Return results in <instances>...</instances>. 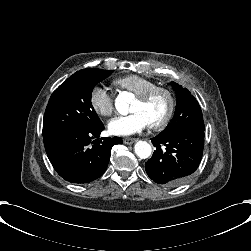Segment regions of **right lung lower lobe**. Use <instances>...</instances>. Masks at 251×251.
Here are the masks:
<instances>
[{"label": "right lung lower lobe", "instance_id": "obj_1", "mask_svg": "<svg viewBox=\"0 0 251 251\" xmlns=\"http://www.w3.org/2000/svg\"><path fill=\"white\" fill-rule=\"evenodd\" d=\"M104 125L95 129L70 128L44 138L47 156L56 172L66 181L90 183L103 175L111 148L122 144L119 137L100 138Z\"/></svg>", "mask_w": 251, "mask_h": 251}]
</instances>
